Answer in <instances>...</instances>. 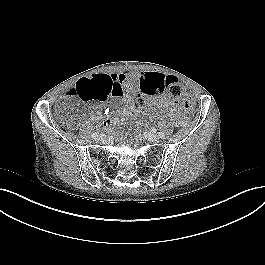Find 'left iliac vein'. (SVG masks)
<instances>
[{"mask_svg": "<svg viewBox=\"0 0 265 265\" xmlns=\"http://www.w3.org/2000/svg\"><path fill=\"white\" fill-rule=\"evenodd\" d=\"M146 139L149 141V142H153V143H156L159 141V137L155 134H152V133H146Z\"/></svg>", "mask_w": 265, "mask_h": 265, "instance_id": "obj_1", "label": "left iliac vein"}]
</instances>
